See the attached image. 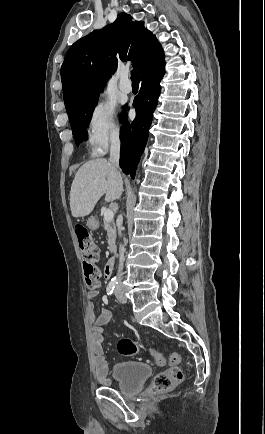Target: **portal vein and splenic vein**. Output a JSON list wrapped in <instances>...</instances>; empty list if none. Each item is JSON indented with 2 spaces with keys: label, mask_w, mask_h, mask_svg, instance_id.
I'll list each match as a JSON object with an SVG mask.
<instances>
[{
  "label": "portal vein and splenic vein",
  "mask_w": 265,
  "mask_h": 434,
  "mask_svg": "<svg viewBox=\"0 0 265 434\" xmlns=\"http://www.w3.org/2000/svg\"><path fill=\"white\" fill-rule=\"evenodd\" d=\"M113 212L112 210H105L104 212V220H106V222H111V220H113Z\"/></svg>",
  "instance_id": "portal-vein-and-splenic-vein-1"
}]
</instances>
